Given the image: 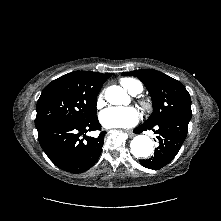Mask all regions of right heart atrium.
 Returning a JSON list of instances; mask_svg holds the SVG:
<instances>
[{
  "label": "right heart atrium",
  "mask_w": 221,
  "mask_h": 221,
  "mask_svg": "<svg viewBox=\"0 0 221 221\" xmlns=\"http://www.w3.org/2000/svg\"><path fill=\"white\" fill-rule=\"evenodd\" d=\"M103 105H104V96L103 93H100L96 100V106L97 108H101Z\"/></svg>",
  "instance_id": "d8ad5b80"
}]
</instances>
